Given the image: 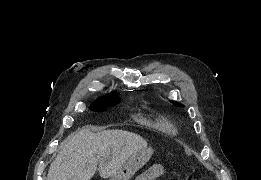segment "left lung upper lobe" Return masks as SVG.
<instances>
[{"mask_svg":"<svg viewBox=\"0 0 261 180\" xmlns=\"http://www.w3.org/2000/svg\"><path fill=\"white\" fill-rule=\"evenodd\" d=\"M172 103H173L174 105H176V106H181V104H179V103H177V102H173V101H172Z\"/></svg>","mask_w":261,"mask_h":180,"instance_id":"5c2ea615","label":"left lung upper lobe"}]
</instances>
